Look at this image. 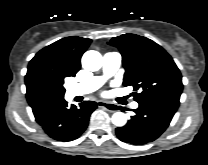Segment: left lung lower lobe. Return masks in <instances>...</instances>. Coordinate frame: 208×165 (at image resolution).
<instances>
[{"instance_id":"0a47b994","label":"left lung lower lobe","mask_w":208,"mask_h":165,"mask_svg":"<svg viewBox=\"0 0 208 165\" xmlns=\"http://www.w3.org/2000/svg\"><path fill=\"white\" fill-rule=\"evenodd\" d=\"M179 100L156 99L140 103L128 123L116 129L117 137L127 143L141 145L157 139L169 126Z\"/></svg>"}]
</instances>
